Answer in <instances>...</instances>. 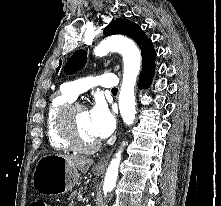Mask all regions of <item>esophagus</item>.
Segmentation results:
<instances>
[{
    "mask_svg": "<svg viewBox=\"0 0 221 206\" xmlns=\"http://www.w3.org/2000/svg\"><path fill=\"white\" fill-rule=\"evenodd\" d=\"M111 154H112V151L110 153H108L106 156H104L103 158H101L98 161V163L95 165V169L96 170H104L108 164Z\"/></svg>",
    "mask_w": 221,
    "mask_h": 206,
    "instance_id": "1",
    "label": "esophagus"
}]
</instances>
